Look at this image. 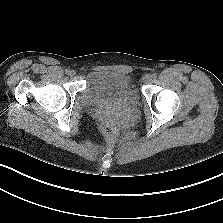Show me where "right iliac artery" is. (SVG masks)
I'll return each instance as SVG.
<instances>
[{
    "label": "right iliac artery",
    "mask_w": 223,
    "mask_h": 223,
    "mask_svg": "<svg viewBox=\"0 0 223 223\" xmlns=\"http://www.w3.org/2000/svg\"><path fill=\"white\" fill-rule=\"evenodd\" d=\"M65 72H66V74H69L70 73V69H66Z\"/></svg>",
    "instance_id": "82829eb1"
}]
</instances>
